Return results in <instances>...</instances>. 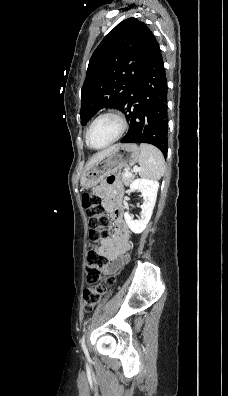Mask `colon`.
<instances>
[{
  "label": "colon",
  "instance_id": "5ec220e1",
  "mask_svg": "<svg viewBox=\"0 0 228 396\" xmlns=\"http://www.w3.org/2000/svg\"><path fill=\"white\" fill-rule=\"evenodd\" d=\"M82 202L91 225L92 245L87 255V273L90 283L83 291L84 309L89 312L97 306L106 287L113 283V277L100 278L105 264V258L100 253V242L109 236L108 217L105 215L101 199L97 194L86 192L82 195Z\"/></svg>",
  "mask_w": 228,
  "mask_h": 396
}]
</instances>
